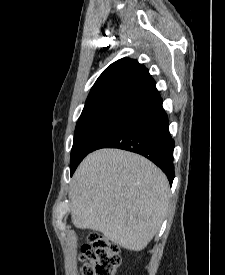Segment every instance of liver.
Returning <instances> with one entry per match:
<instances>
[{
  "label": "liver",
  "instance_id": "liver-1",
  "mask_svg": "<svg viewBox=\"0 0 225 275\" xmlns=\"http://www.w3.org/2000/svg\"><path fill=\"white\" fill-rule=\"evenodd\" d=\"M69 195L77 228L101 232L127 250L140 251L165 218L170 187L165 174L148 159L101 149L80 163Z\"/></svg>",
  "mask_w": 225,
  "mask_h": 275
}]
</instances>
